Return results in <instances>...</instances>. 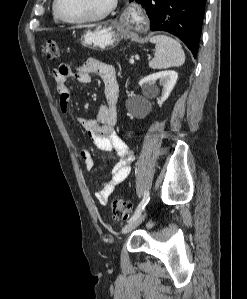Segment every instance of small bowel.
<instances>
[{
    "mask_svg": "<svg viewBox=\"0 0 247 299\" xmlns=\"http://www.w3.org/2000/svg\"><path fill=\"white\" fill-rule=\"evenodd\" d=\"M93 74L99 75L104 83L106 103L99 106L94 118H79L77 123L88 133L99 149L114 152L118 158V162L113 167L110 177L104 180L95 192L98 202L105 205L116 186L129 175L130 164L133 161V154L114 129L119 99V84L115 69L113 66L101 61L88 59L76 72H73L68 64H61L54 69L53 78L59 95L60 108L62 112L67 113L70 102L68 79L74 77L79 83L87 84L91 82ZM80 156L85 169L87 171L92 170L94 162L91 152L84 148L81 150Z\"/></svg>",
    "mask_w": 247,
    "mask_h": 299,
    "instance_id": "obj_1",
    "label": "small bowel"
}]
</instances>
